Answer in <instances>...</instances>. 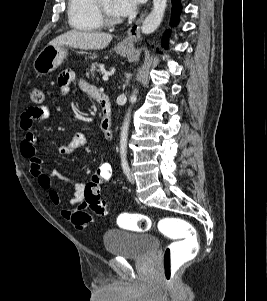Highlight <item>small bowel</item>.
I'll list each match as a JSON object with an SVG mask.
<instances>
[{"label":"small bowel","instance_id":"1","mask_svg":"<svg viewBox=\"0 0 267 301\" xmlns=\"http://www.w3.org/2000/svg\"><path fill=\"white\" fill-rule=\"evenodd\" d=\"M74 78L75 74L72 70H65L59 75L58 87L61 96L66 97L70 94V84ZM78 86L85 94L93 98L99 91L96 86L90 84L85 79H80ZM49 117L50 110L46 106L30 107L21 115L20 126L25 135L20 145V151L29 161L31 174L37 179L39 186L47 191L49 199L53 204H60V196L53 185L54 177L73 188L74 193L70 200V207L62 209L61 216L69 220L77 229L83 230L93 221V216L85 211L87 208L84 199L85 185L58 172L45 173L43 171V162L36 152L37 136L33 131V124L36 120L48 119ZM102 139L107 141L104 133H102ZM86 144L87 138L85 134L78 132L68 143L57 146V151L62 155H71Z\"/></svg>","mask_w":267,"mask_h":301}]
</instances>
